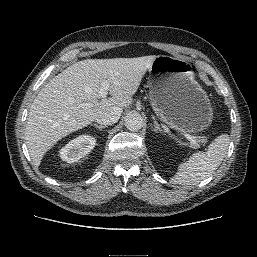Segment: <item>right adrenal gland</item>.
<instances>
[{
  "label": "right adrenal gland",
  "mask_w": 257,
  "mask_h": 257,
  "mask_svg": "<svg viewBox=\"0 0 257 257\" xmlns=\"http://www.w3.org/2000/svg\"><path fill=\"white\" fill-rule=\"evenodd\" d=\"M92 126H95L96 128H98L99 130H102L104 128H106V125H97V124H93Z\"/></svg>",
  "instance_id": "1"
}]
</instances>
